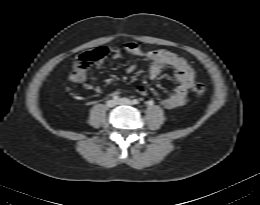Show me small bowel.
<instances>
[{"label":"small bowel","instance_id":"1","mask_svg":"<svg viewBox=\"0 0 260 205\" xmlns=\"http://www.w3.org/2000/svg\"><path fill=\"white\" fill-rule=\"evenodd\" d=\"M122 51L144 58L148 62L147 71L151 78H156L166 67L173 68L178 83L174 91L161 100V105L165 109H173L185 104L189 89L195 78V72L186 59L175 52L165 50H145L142 46L133 42L125 43L121 46V48L113 47L111 49L112 58L120 59L122 56ZM100 65L101 63L98 64V66ZM134 70V65H130L127 68V72L129 73ZM67 79L70 82L83 85L87 90L94 93L98 94L102 91L100 87L95 86L90 82L86 70L78 69L75 66H73L71 71L68 73ZM135 91L143 96L147 94V90L143 86H137ZM121 93L122 91L118 90L115 91L114 95L118 96Z\"/></svg>","mask_w":260,"mask_h":205}]
</instances>
